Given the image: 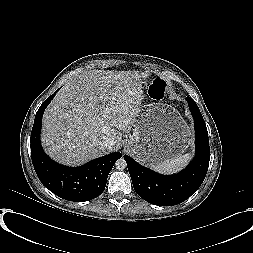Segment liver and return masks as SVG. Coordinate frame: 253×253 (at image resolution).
<instances>
[{
  "instance_id": "1",
  "label": "liver",
  "mask_w": 253,
  "mask_h": 253,
  "mask_svg": "<svg viewBox=\"0 0 253 253\" xmlns=\"http://www.w3.org/2000/svg\"><path fill=\"white\" fill-rule=\"evenodd\" d=\"M147 77L135 70H89L72 77L45 110L41 140L46 153L78 166L117 150L122 132L131 130L140 111ZM105 138L114 144L103 147Z\"/></svg>"
}]
</instances>
